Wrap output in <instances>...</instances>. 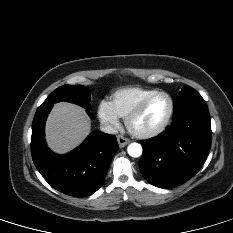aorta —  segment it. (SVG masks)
<instances>
[{
    "instance_id": "1",
    "label": "aorta",
    "mask_w": 233,
    "mask_h": 233,
    "mask_svg": "<svg viewBox=\"0 0 233 233\" xmlns=\"http://www.w3.org/2000/svg\"><path fill=\"white\" fill-rule=\"evenodd\" d=\"M127 152L131 157H140L142 155V146L138 143H131L127 147Z\"/></svg>"
}]
</instances>
